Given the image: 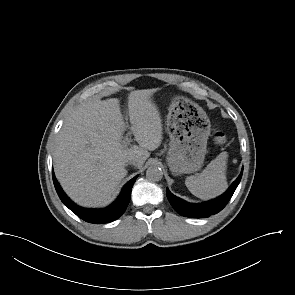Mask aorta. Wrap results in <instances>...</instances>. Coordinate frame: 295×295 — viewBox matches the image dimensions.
<instances>
[{
  "label": "aorta",
  "mask_w": 295,
  "mask_h": 295,
  "mask_svg": "<svg viewBox=\"0 0 295 295\" xmlns=\"http://www.w3.org/2000/svg\"><path fill=\"white\" fill-rule=\"evenodd\" d=\"M146 177L150 181H160L163 177L161 168L157 166H150L146 171Z\"/></svg>",
  "instance_id": "obj_1"
}]
</instances>
